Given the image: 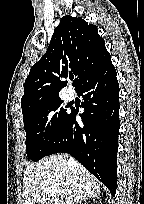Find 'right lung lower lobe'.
<instances>
[{
	"instance_id": "98d812e1",
	"label": "right lung lower lobe",
	"mask_w": 144,
	"mask_h": 204,
	"mask_svg": "<svg viewBox=\"0 0 144 204\" xmlns=\"http://www.w3.org/2000/svg\"><path fill=\"white\" fill-rule=\"evenodd\" d=\"M83 97L80 114L72 111L47 155L68 153L97 177L114 196L117 188L119 85L111 59L77 88Z\"/></svg>"
}]
</instances>
